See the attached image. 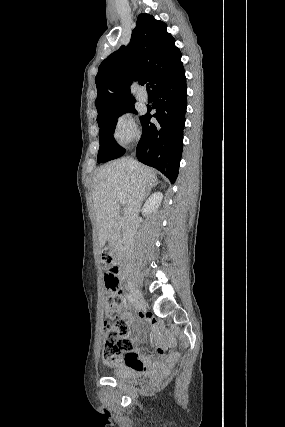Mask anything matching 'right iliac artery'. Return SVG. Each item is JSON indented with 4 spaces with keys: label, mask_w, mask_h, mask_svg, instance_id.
I'll return each instance as SVG.
<instances>
[{
    "label": "right iliac artery",
    "mask_w": 285,
    "mask_h": 427,
    "mask_svg": "<svg viewBox=\"0 0 285 427\" xmlns=\"http://www.w3.org/2000/svg\"><path fill=\"white\" fill-rule=\"evenodd\" d=\"M126 298H127V300L129 301V303H130L131 305H133V304H134L135 300H134V298H133V296H132L131 294H127V295H126Z\"/></svg>",
    "instance_id": "right-iliac-artery-1"
}]
</instances>
